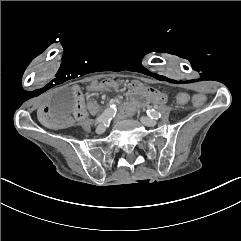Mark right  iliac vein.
Here are the masks:
<instances>
[{
	"label": "right iliac vein",
	"instance_id": "obj_1",
	"mask_svg": "<svg viewBox=\"0 0 241 241\" xmlns=\"http://www.w3.org/2000/svg\"><path fill=\"white\" fill-rule=\"evenodd\" d=\"M106 130V126L104 124H100L96 128L97 134H102Z\"/></svg>",
	"mask_w": 241,
	"mask_h": 241
}]
</instances>
